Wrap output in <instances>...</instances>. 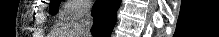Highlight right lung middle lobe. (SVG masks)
Here are the masks:
<instances>
[{"label":"right lung middle lobe","mask_w":219,"mask_h":37,"mask_svg":"<svg viewBox=\"0 0 219 37\" xmlns=\"http://www.w3.org/2000/svg\"><path fill=\"white\" fill-rule=\"evenodd\" d=\"M58 6H59V3L55 2V0L51 1V2H50V7H49V13H50L51 15L57 14V12H58V10H57Z\"/></svg>","instance_id":"1"}]
</instances>
